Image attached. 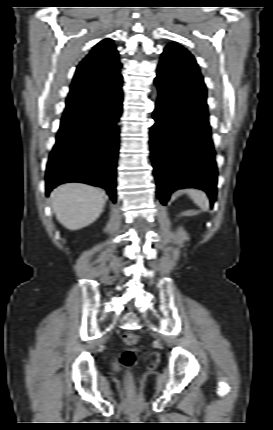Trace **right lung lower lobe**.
Wrapping results in <instances>:
<instances>
[{"instance_id":"right-lung-lower-lobe-1","label":"right lung lower lobe","mask_w":273,"mask_h":430,"mask_svg":"<svg viewBox=\"0 0 273 430\" xmlns=\"http://www.w3.org/2000/svg\"><path fill=\"white\" fill-rule=\"evenodd\" d=\"M121 82L122 78L102 80L88 92L86 105L63 115L47 164V195L62 183L81 182L106 189L116 202Z\"/></svg>"}]
</instances>
